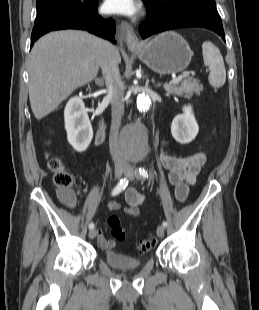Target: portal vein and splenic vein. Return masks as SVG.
I'll return each instance as SVG.
<instances>
[{"label":"portal vein and splenic vein","mask_w":259,"mask_h":310,"mask_svg":"<svg viewBox=\"0 0 259 310\" xmlns=\"http://www.w3.org/2000/svg\"><path fill=\"white\" fill-rule=\"evenodd\" d=\"M183 79V76L180 75L176 78H173L170 82H169V85H172V84H178L181 80Z\"/></svg>","instance_id":"obj_1"}]
</instances>
